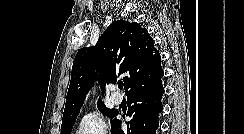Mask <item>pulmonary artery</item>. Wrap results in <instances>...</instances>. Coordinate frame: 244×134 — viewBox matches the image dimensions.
Masks as SVG:
<instances>
[{
	"label": "pulmonary artery",
	"mask_w": 244,
	"mask_h": 134,
	"mask_svg": "<svg viewBox=\"0 0 244 134\" xmlns=\"http://www.w3.org/2000/svg\"><path fill=\"white\" fill-rule=\"evenodd\" d=\"M111 101L115 104V105H119L121 102H122V97L116 93V92H113L111 94Z\"/></svg>",
	"instance_id": "pulmonary-artery-1"
}]
</instances>
